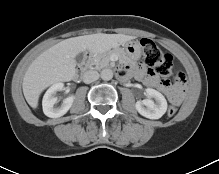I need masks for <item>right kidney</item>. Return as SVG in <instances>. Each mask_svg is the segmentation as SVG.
Returning a JSON list of instances; mask_svg holds the SVG:
<instances>
[{
	"instance_id": "obj_1",
	"label": "right kidney",
	"mask_w": 219,
	"mask_h": 174,
	"mask_svg": "<svg viewBox=\"0 0 219 174\" xmlns=\"http://www.w3.org/2000/svg\"><path fill=\"white\" fill-rule=\"evenodd\" d=\"M64 84L59 82L53 84L44 94L43 100H42V107L43 112L47 117L50 118H58L63 116L68 112V110L71 108L74 96H69L68 98L64 99L61 106L55 107L54 105L57 103V98L55 97V94L57 91L63 90Z\"/></svg>"
}]
</instances>
